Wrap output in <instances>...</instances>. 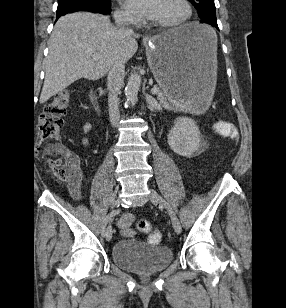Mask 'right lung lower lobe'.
<instances>
[{"label":"right lung lower lobe","mask_w":286,"mask_h":308,"mask_svg":"<svg viewBox=\"0 0 286 308\" xmlns=\"http://www.w3.org/2000/svg\"><path fill=\"white\" fill-rule=\"evenodd\" d=\"M76 11H88V12H93V13L109 14L111 12V8L103 9V8L89 7V6L66 8L63 10H57V19L64 14L76 12Z\"/></svg>","instance_id":"98d812e1"}]
</instances>
